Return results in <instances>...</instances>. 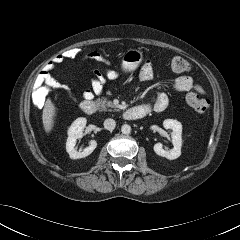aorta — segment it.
Returning <instances> with one entry per match:
<instances>
[{"instance_id": "1", "label": "aorta", "mask_w": 240, "mask_h": 240, "mask_svg": "<svg viewBox=\"0 0 240 240\" xmlns=\"http://www.w3.org/2000/svg\"><path fill=\"white\" fill-rule=\"evenodd\" d=\"M121 132H122L123 134H125V135L130 134V133H131V127H130V125H128V124L122 125V127H121Z\"/></svg>"}]
</instances>
